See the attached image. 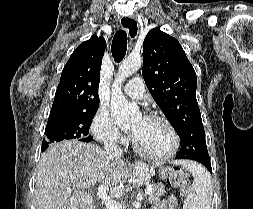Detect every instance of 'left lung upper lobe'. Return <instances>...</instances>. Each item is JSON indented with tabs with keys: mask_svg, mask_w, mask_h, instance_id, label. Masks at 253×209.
I'll list each match as a JSON object with an SVG mask.
<instances>
[{
	"mask_svg": "<svg viewBox=\"0 0 253 209\" xmlns=\"http://www.w3.org/2000/svg\"><path fill=\"white\" fill-rule=\"evenodd\" d=\"M143 61L145 83L182 141L176 158H209L195 95L196 73L180 43L155 27L144 39Z\"/></svg>",
	"mask_w": 253,
	"mask_h": 209,
	"instance_id": "left-lung-upper-lobe-1",
	"label": "left lung upper lobe"
}]
</instances>
